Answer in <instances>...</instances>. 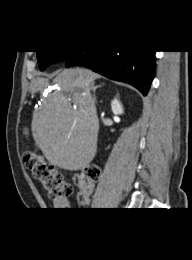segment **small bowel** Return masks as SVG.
Instances as JSON below:
<instances>
[{
  "label": "small bowel",
  "instance_id": "1",
  "mask_svg": "<svg viewBox=\"0 0 192 260\" xmlns=\"http://www.w3.org/2000/svg\"><path fill=\"white\" fill-rule=\"evenodd\" d=\"M71 205V201L66 198L62 200H54L52 207L54 210H68L71 208Z\"/></svg>",
  "mask_w": 192,
  "mask_h": 260
}]
</instances>
